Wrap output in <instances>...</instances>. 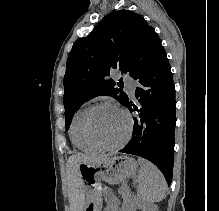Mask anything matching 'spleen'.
<instances>
[{
    "label": "spleen",
    "mask_w": 219,
    "mask_h": 211,
    "mask_svg": "<svg viewBox=\"0 0 219 211\" xmlns=\"http://www.w3.org/2000/svg\"><path fill=\"white\" fill-rule=\"evenodd\" d=\"M141 169L137 175V195L143 203H155L165 197L167 183L160 169L147 161V159H138Z\"/></svg>",
    "instance_id": "3e777b00"
}]
</instances>
